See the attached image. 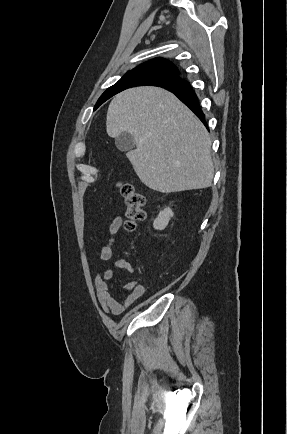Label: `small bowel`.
<instances>
[{
    "mask_svg": "<svg viewBox=\"0 0 287 434\" xmlns=\"http://www.w3.org/2000/svg\"><path fill=\"white\" fill-rule=\"evenodd\" d=\"M122 227L121 217H115L104 230V241L102 243L99 260L105 262L112 257V247L115 242V238ZM115 269L117 270H129L132 268L130 264L124 259H118L114 262L113 268H104L98 272L94 279V285L96 288L97 300L105 313H111L114 315L122 314L127 307L136 303L144 294V288L142 285H137L134 291L128 295L123 302L117 301L111 294V286L109 281L115 277Z\"/></svg>",
    "mask_w": 287,
    "mask_h": 434,
    "instance_id": "1",
    "label": "small bowel"
}]
</instances>
